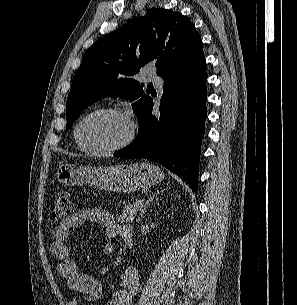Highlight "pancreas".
Instances as JSON below:
<instances>
[{"mask_svg": "<svg viewBox=\"0 0 297 305\" xmlns=\"http://www.w3.org/2000/svg\"><path fill=\"white\" fill-rule=\"evenodd\" d=\"M139 200H137L135 203L133 204H130V205H127L123 208V210L120 212V215L117 217V220L119 222H122V223H130L134 220V217L137 213V211H139L143 205L141 206H138L137 205V202Z\"/></svg>", "mask_w": 297, "mask_h": 305, "instance_id": "obj_1", "label": "pancreas"}]
</instances>
